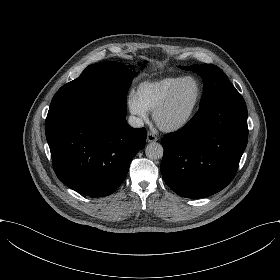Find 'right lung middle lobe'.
Instances as JSON below:
<instances>
[{
	"label": "right lung middle lobe",
	"mask_w": 280,
	"mask_h": 280,
	"mask_svg": "<svg viewBox=\"0 0 280 280\" xmlns=\"http://www.w3.org/2000/svg\"><path fill=\"white\" fill-rule=\"evenodd\" d=\"M129 67L114 61L89 65L77 79L62 86L57 93L85 95L126 110L127 92L137 75Z\"/></svg>",
	"instance_id": "obj_1"
}]
</instances>
